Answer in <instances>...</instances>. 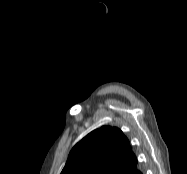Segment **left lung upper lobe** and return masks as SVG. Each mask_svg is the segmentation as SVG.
I'll return each mask as SVG.
<instances>
[{"label": "left lung upper lobe", "instance_id": "5c2ea615", "mask_svg": "<svg viewBox=\"0 0 187 174\" xmlns=\"http://www.w3.org/2000/svg\"><path fill=\"white\" fill-rule=\"evenodd\" d=\"M137 158L128 139L115 127H102L71 150L61 174H137Z\"/></svg>", "mask_w": 187, "mask_h": 174}]
</instances>
